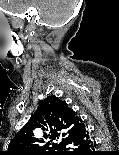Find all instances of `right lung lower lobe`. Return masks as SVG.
Segmentation results:
<instances>
[{"instance_id":"right-lung-lower-lobe-1","label":"right lung lower lobe","mask_w":119,"mask_h":155,"mask_svg":"<svg viewBox=\"0 0 119 155\" xmlns=\"http://www.w3.org/2000/svg\"><path fill=\"white\" fill-rule=\"evenodd\" d=\"M96 144L89 136L85 127L73 135L57 153V155H98Z\"/></svg>"}]
</instances>
